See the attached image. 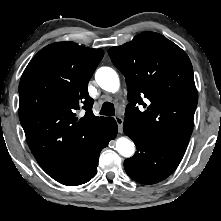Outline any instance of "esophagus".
<instances>
[{"mask_svg":"<svg viewBox=\"0 0 221 221\" xmlns=\"http://www.w3.org/2000/svg\"><path fill=\"white\" fill-rule=\"evenodd\" d=\"M115 121L118 125V131L121 133L123 129V119L119 116L115 117Z\"/></svg>","mask_w":221,"mask_h":221,"instance_id":"obj_1","label":"esophagus"}]
</instances>
